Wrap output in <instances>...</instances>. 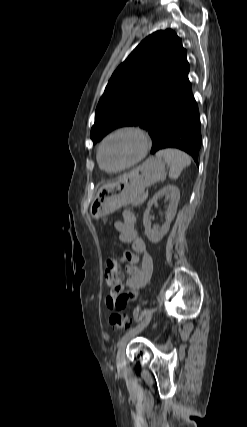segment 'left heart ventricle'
<instances>
[{
	"label": "left heart ventricle",
	"instance_id": "left-heart-ventricle-1",
	"mask_svg": "<svg viewBox=\"0 0 247 427\" xmlns=\"http://www.w3.org/2000/svg\"><path fill=\"white\" fill-rule=\"evenodd\" d=\"M141 150V141L133 133H122L110 139L103 147L101 158L105 168L118 169L133 161Z\"/></svg>",
	"mask_w": 247,
	"mask_h": 427
}]
</instances>
